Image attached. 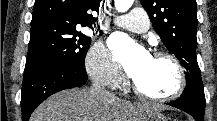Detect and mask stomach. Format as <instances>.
Here are the masks:
<instances>
[{
  "label": "stomach",
  "mask_w": 217,
  "mask_h": 121,
  "mask_svg": "<svg viewBox=\"0 0 217 121\" xmlns=\"http://www.w3.org/2000/svg\"><path fill=\"white\" fill-rule=\"evenodd\" d=\"M142 121H167V118L159 112L146 113Z\"/></svg>",
  "instance_id": "0dacf381"
}]
</instances>
